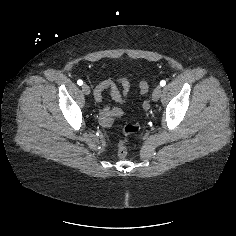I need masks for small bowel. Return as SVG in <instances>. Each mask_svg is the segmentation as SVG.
Returning <instances> with one entry per match:
<instances>
[{
  "label": "small bowel",
  "instance_id": "small-bowel-1",
  "mask_svg": "<svg viewBox=\"0 0 236 236\" xmlns=\"http://www.w3.org/2000/svg\"><path fill=\"white\" fill-rule=\"evenodd\" d=\"M118 81L121 84L122 90H119L112 80H104L100 82L94 91L95 100L101 102L103 98V92L108 89L111 92L112 98L116 102H125L130 93V81L124 76L119 77ZM121 116H123V111L120 108H110L108 106H103L100 110V120L105 125L111 124L115 117Z\"/></svg>",
  "mask_w": 236,
  "mask_h": 236
}]
</instances>
